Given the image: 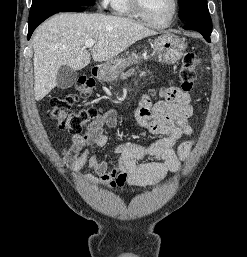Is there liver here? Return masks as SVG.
I'll return each instance as SVG.
<instances>
[{"mask_svg":"<svg viewBox=\"0 0 247 257\" xmlns=\"http://www.w3.org/2000/svg\"><path fill=\"white\" fill-rule=\"evenodd\" d=\"M157 32L123 17L95 14L55 15L40 25L33 37L34 96L43 99L57 85V72L63 65L74 70L95 62L109 61L135 42ZM96 43L90 52L84 42Z\"/></svg>","mask_w":247,"mask_h":257,"instance_id":"1","label":"liver"}]
</instances>
